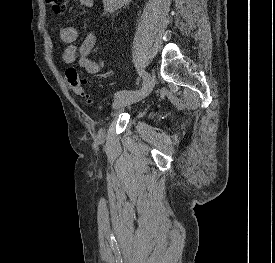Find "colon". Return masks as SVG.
<instances>
[{
  "label": "colon",
  "instance_id": "5ec220e1",
  "mask_svg": "<svg viewBox=\"0 0 275 263\" xmlns=\"http://www.w3.org/2000/svg\"><path fill=\"white\" fill-rule=\"evenodd\" d=\"M52 11L55 13H63L66 10L68 0H46ZM65 76L71 90L75 95L87 101H91L90 95L85 88L84 79L74 66H69L65 71Z\"/></svg>",
  "mask_w": 275,
  "mask_h": 263
}]
</instances>
